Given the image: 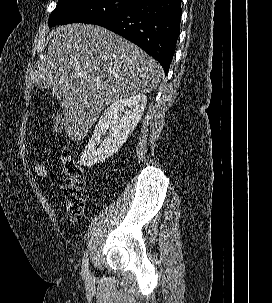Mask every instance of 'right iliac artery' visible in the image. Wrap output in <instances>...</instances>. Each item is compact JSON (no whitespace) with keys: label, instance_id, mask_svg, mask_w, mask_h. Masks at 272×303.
Instances as JSON below:
<instances>
[{"label":"right iliac artery","instance_id":"obj_1","mask_svg":"<svg viewBox=\"0 0 272 303\" xmlns=\"http://www.w3.org/2000/svg\"><path fill=\"white\" fill-rule=\"evenodd\" d=\"M88 261H89L88 251H85L84 256H83V262H82V273H83V275L88 274Z\"/></svg>","mask_w":272,"mask_h":303}]
</instances>
